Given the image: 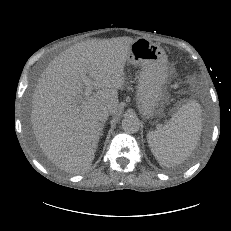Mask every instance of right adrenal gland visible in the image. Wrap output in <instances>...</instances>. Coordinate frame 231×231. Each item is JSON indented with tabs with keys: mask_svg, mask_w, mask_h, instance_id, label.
Wrapping results in <instances>:
<instances>
[{
	"mask_svg": "<svg viewBox=\"0 0 231 231\" xmlns=\"http://www.w3.org/2000/svg\"><path fill=\"white\" fill-rule=\"evenodd\" d=\"M103 128H104V124H103ZM101 136L103 135V130L101 131V134H100Z\"/></svg>",
	"mask_w": 231,
	"mask_h": 231,
	"instance_id": "obj_1",
	"label": "right adrenal gland"
}]
</instances>
